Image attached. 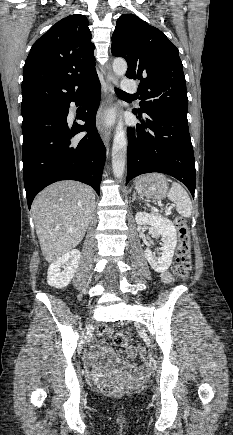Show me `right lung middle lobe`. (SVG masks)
<instances>
[{"instance_id": "1", "label": "right lung middle lobe", "mask_w": 233, "mask_h": 435, "mask_svg": "<svg viewBox=\"0 0 233 435\" xmlns=\"http://www.w3.org/2000/svg\"><path fill=\"white\" fill-rule=\"evenodd\" d=\"M55 109H57V108H55ZM51 110H54V109L42 111V112L35 113V114H32V115H28V116H23V122L22 123H26V122H29V121H31L33 119H36L37 117H39V116H41V115H43V114H45V113H47V112H49Z\"/></svg>"}]
</instances>
